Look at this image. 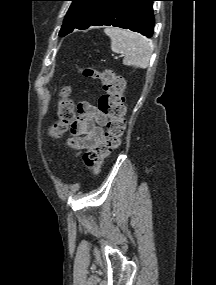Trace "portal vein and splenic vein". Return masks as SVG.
<instances>
[{
  "label": "portal vein and splenic vein",
  "instance_id": "obj_1",
  "mask_svg": "<svg viewBox=\"0 0 216 285\" xmlns=\"http://www.w3.org/2000/svg\"><path fill=\"white\" fill-rule=\"evenodd\" d=\"M118 58H119L118 56L115 57V59H118Z\"/></svg>",
  "mask_w": 216,
  "mask_h": 285
}]
</instances>
